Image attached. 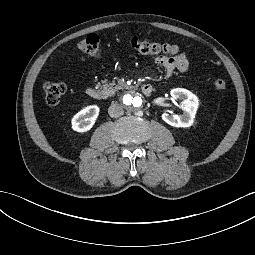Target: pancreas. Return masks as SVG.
I'll return each instance as SVG.
<instances>
[{
  "instance_id": "pancreas-1",
  "label": "pancreas",
  "mask_w": 255,
  "mask_h": 255,
  "mask_svg": "<svg viewBox=\"0 0 255 255\" xmlns=\"http://www.w3.org/2000/svg\"><path fill=\"white\" fill-rule=\"evenodd\" d=\"M96 87L102 89L105 96L115 95L117 91L124 89L114 83L106 84V81L96 83Z\"/></svg>"
}]
</instances>
